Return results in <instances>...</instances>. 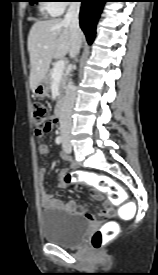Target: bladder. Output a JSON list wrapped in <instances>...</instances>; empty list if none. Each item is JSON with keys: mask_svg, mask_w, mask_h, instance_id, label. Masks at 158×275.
Segmentation results:
<instances>
[{"mask_svg": "<svg viewBox=\"0 0 158 275\" xmlns=\"http://www.w3.org/2000/svg\"><path fill=\"white\" fill-rule=\"evenodd\" d=\"M42 234L46 241L62 247H76L90 227V221L80 214L61 208H46L41 214Z\"/></svg>", "mask_w": 158, "mask_h": 275, "instance_id": "bladder-1", "label": "bladder"}]
</instances>
